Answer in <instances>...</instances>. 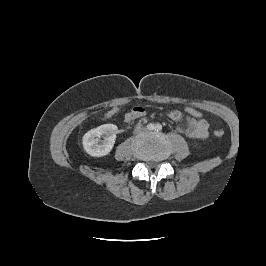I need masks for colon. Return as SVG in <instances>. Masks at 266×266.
I'll return each mask as SVG.
<instances>
[{"label": "colon", "mask_w": 266, "mask_h": 266, "mask_svg": "<svg viewBox=\"0 0 266 266\" xmlns=\"http://www.w3.org/2000/svg\"><path fill=\"white\" fill-rule=\"evenodd\" d=\"M184 113L189 116V117H192V118H195V119H202V112L197 109L196 107L194 106H187L184 108ZM214 134L217 136V137H221L223 136L224 134V131L221 130V129H218V130H215Z\"/></svg>", "instance_id": "1"}]
</instances>
